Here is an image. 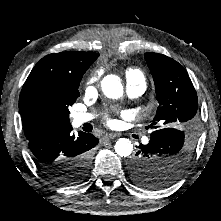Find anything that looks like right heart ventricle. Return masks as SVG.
Segmentation results:
<instances>
[{
	"label": "right heart ventricle",
	"mask_w": 221,
	"mask_h": 221,
	"mask_svg": "<svg viewBox=\"0 0 221 221\" xmlns=\"http://www.w3.org/2000/svg\"><path fill=\"white\" fill-rule=\"evenodd\" d=\"M126 78H127V81L140 80L144 82L143 73L139 69H136V68H129L126 71Z\"/></svg>",
	"instance_id": "right-heart-ventricle-1"
}]
</instances>
